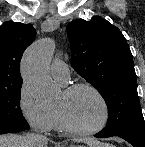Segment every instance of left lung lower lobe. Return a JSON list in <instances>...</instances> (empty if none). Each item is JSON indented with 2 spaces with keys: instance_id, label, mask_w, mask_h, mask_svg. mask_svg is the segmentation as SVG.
<instances>
[{
  "instance_id": "obj_1",
  "label": "left lung lower lobe",
  "mask_w": 145,
  "mask_h": 147,
  "mask_svg": "<svg viewBox=\"0 0 145 147\" xmlns=\"http://www.w3.org/2000/svg\"><path fill=\"white\" fill-rule=\"evenodd\" d=\"M111 136H119L125 139L126 141H128L133 147H145V136L143 135H135V134L111 135V134H105L102 131L95 135V137L98 138H106Z\"/></svg>"
}]
</instances>
